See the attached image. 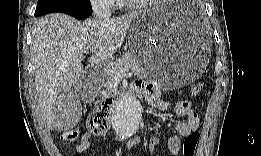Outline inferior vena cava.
I'll return each mask as SVG.
<instances>
[{"mask_svg": "<svg viewBox=\"0 0 261 156\" xmlns=\"http://www.w3.org/2000/svg\"><path fill=\"white\" fill-rule=\"evenodd\" d=\"M93 12L95 20L97 21H108L111 16V11L107 3L98 1L93 4Z\"/></svg>", "mask_w": 261, "mask_h": 156, "instance_id": "1", "label": "inferior vena cava"}]
</instances>
